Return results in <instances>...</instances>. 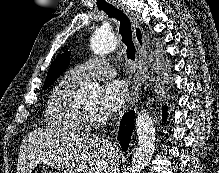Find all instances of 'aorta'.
Segmentation results:
<instances>
[{"label":"aorta","instance_id":"aorta-1","mask_svg":"<svg viewBox=\"0 0 219 173\" xmlns=\"http://www.w3.org/2000/svg\"><path fill=\"white\" fill-rule=\"evenodd\" d=\"M118 46L116 35L110 29H97L90 39V48L94 54H106L114 51ZM99 88L94 84H87L82 90V95H96ZM136 132L138 145L133 155L130 172L141 173L149 164L155 146V129L151 116L142 111L136 119Z\"/></svg>","mask_w":219,"mask_h":173}]
</instances>
